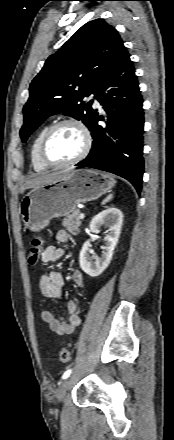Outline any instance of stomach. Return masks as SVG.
<instances>
[{
    "label": "stomach",
    "instance_id": "1",
    "mask_svg": "<svg viewBox=\"0 0 174 440\" xmlns=\"http://www.w3.org/2000/svg\"><path fill=\"white\" fill-rule=\"evenodd\" d=\"M105 173L79 169L63 174L49 183L34 187L19 207L25 226L32 231L44 229L53 218L67 216L79 203L94 200L115 185Z\"/></svg>",
    "mask_w": 174,
    "mask_h": 440
}]
</instances>
